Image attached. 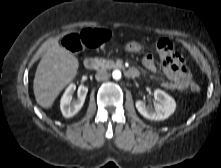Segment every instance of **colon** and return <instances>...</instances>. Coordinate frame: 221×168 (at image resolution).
Here are the masks:
<instances>
[{
  "label": "colon",
  "mask_w": 221,
  "mask_h": 168,
  "mask_svg": "<svg viewBox=\"0 0 221 168\" xmlns=\"http://www.w3.org/2000/svg\"><path fill=\"white\" fill-rule=\"evenodd\" d=\"M109 38V30L88 28L80 33L65 36L62 40V45L72 52H77L82 50L84 47H96ZM156 49L160 55L164 56L173 53V45L171 41L166 38L160 39L157 42ZM190 88L194 92H198L200 90V86L195 82L190 83Z\"/></svg>",
  "instance_id": "colon-1"
}]
</instances>
